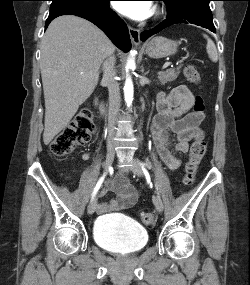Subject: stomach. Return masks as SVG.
<instances>
[{
	"label": "stomach",
	"mask_w": 250,
	"mask_h": 285,
	"mask_svg": "<svg viewBox=\"0 0 250 285\" xmlns=\"http://www.w3.org/2000/svg\"><path fill=\"white\" fill-rule=\"evenodd\" d=\"M177 42L165 37H155L145 46V52L150 58H163L177 51Z\"/></svg>",
	"instance_id": "0dacf381"
}]
</instances>
